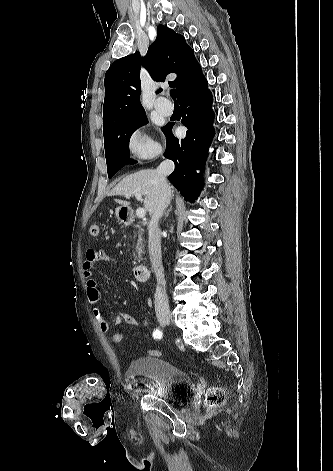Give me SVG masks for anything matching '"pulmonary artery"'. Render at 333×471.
I'll return each mask as SVG.
<instances>
[{
    "label": "pulmonary artery",
    "instance_id": "pulmonary-artery-1",
    "mask_svg": "<svg viewBox=\"0 0 333 471\" xmlns=\"http://www.w3.org/2000/svg\"><path fill=\"white\" fill-rule=\"evenodd\" d=\"M155 109L160 114L168 116L171 115L173 112V105L166 98L160 97L155 103Z\"/></svg>",
    "mask_w": 333,
    "mask_h": 471
}]
</instances>
